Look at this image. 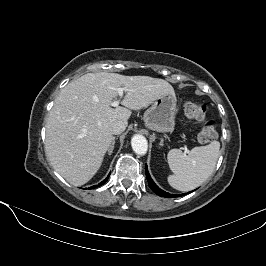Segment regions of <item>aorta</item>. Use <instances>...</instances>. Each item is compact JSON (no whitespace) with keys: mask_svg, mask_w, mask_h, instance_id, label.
I'll return each instance as SVG.
<instances>
[{"mask_svg":"<svg viewBox=\"0 0 266 266\" xmlns=\"http://www.w3.org/2000/svg\"><path fill=\"white\" fill-rule=\"evenodd\" d=\"M131 146L133 151L138 155H144L148 149V143L144 136L134 135L131 140Z\"/></svg>","mask_w":266,"mask_h":266,"instance_id":"aorta-1","label":"aorta"}]
</instances>
